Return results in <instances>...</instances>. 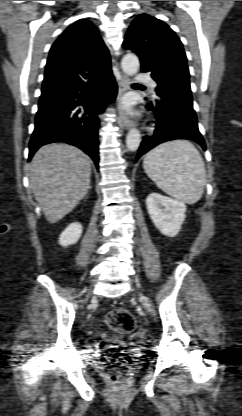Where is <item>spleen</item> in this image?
Segmentation results:
<instances>
[{
	"instance_id": "3e777b00",
	"label": "spleen",
	"mask_w": 242,
	"mask_h": 416,
	"mask_svg": "<svg viewBox=\"0 0 242 416\" xmlns=\"http://www.w3.org/2000/svg\"><path fill=\"white\" fill-rule=\"evenodd\" d=\"M148 177L166 194L194 204L206 184V170L200 152L187 140L165 142L149 151L143 161Z\"/></svg>"
}]
</instances>
